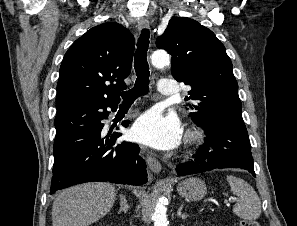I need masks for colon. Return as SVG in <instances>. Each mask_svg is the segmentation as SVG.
Segmentation results:
<instances>
[{"mask_svg": "<svg viewBox=\"0 0 297 226\" xmlns=\"http://www.w3.org/2000/svg\"><path fill=\"white\" fill-rule=\"evenodd\" d=\"M239 226H261L259 222L254 220H241Z\"/></svg>", "mask_w": 297, "mask_h": 226, "instance_id": "colon-1", "label": "colon"}]
</instances>
